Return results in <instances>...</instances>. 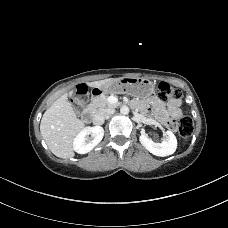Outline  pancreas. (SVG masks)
Wrapping results in <instances>:
<instances>
[{
  "mask_svg": "<svg viewBox=\"0 0 228 228\" xmlns=\"http://www.w3.org/2000/svg\"><path fill=\"white\" fill-rule=\"evenodd\" d=\"M119 104H112L108 101L107 96H100L97 99L93 100L90 104V107H92L96 112H102L108 109L116 108Z\"/></svg>",
  "mask_w": 228,
  "mask_h": 228,
  "instance_id": "cf45deb5",
  "label": "pancreas"
}]
</instances>
